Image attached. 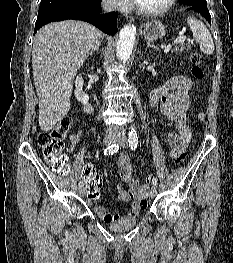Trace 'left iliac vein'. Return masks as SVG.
<instances>
[{
    "label": "left iliac vein",
    "mask_w": 233,
    "mask_h": 263,
    "mask_svg": "<svg viewBox=\"0 0 233 263\" xmlns=\"http://www.w3.org/2000/svg\"><path fill=\"white\" fill-rule=\"evenodd\" d=\"M117 142L121 144V146H126L127 143V139L124 136H121L117 139ZM157 194V187L156 186H152L151 190H150V197L154 198Z\"/></svg>",
    "instance_id": "left-iliac-vein-1"
}]
</instances>
